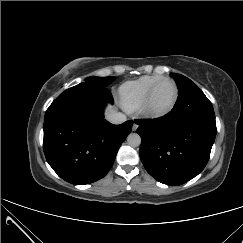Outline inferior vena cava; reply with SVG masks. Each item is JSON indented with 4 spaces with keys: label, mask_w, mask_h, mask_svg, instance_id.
I'll list each match as a JSON object with an SVG mask.
<instances>
[{
    "label": "inferior vena cava",
    "mask_w": 243,
    "mask_h": 243,
    "mask_svg": "<svg viewBox=\"0 0 243 243\" xmlns=\"http://www.w3.org/2000/svg\"><path fill=\"white\" fill-rule=\"evenodd\" d=\"M106 119L113 124H121L126 121V116L121 112H111L107 114Z\"/></svg>",
    "instance_id": "obj_1"
}]
</instances>
